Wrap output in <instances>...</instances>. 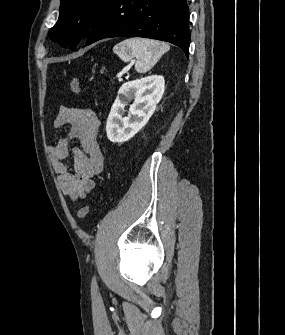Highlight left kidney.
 <instances>
[{"label":"left kidney","mask_w":285,"mask_h":335,"mask_svg":"<svg viewBox=\"0 0 285 335\" xmlns=\"http://www.w3.org/2000/svg\"><path fill=\"white\" fill-rule=\"evenodd\" d=\"M165 90L163 76H147L141 80L125 82L107 118L106 132L110 142L123 144L133 138L155 112ZM133 96L128 116L122 118L126 106V98Z\"/></svg>","instance_id":"1"}]
</instances>
